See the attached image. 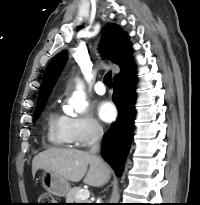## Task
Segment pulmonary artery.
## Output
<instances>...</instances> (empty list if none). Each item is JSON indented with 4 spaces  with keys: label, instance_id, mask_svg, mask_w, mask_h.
<instances>
[{
    "label": "pulmonary artery",
    "instance_id": "pulmonary-artery-1",
    "mask_svg": "<svg viewBox=\"0 0 200 205\" xmlns=\"http://www.w3.org/2000/svg\"><path fill=\"white\" fill-rule=\"evenodd\" d=\"M94 90L98 95H104L106 92V88L103 84L102 81H98L95 86H94Z\"/></svg>",
    "mask_w": 200,
    "mask_h": 205
}]
</instances>
